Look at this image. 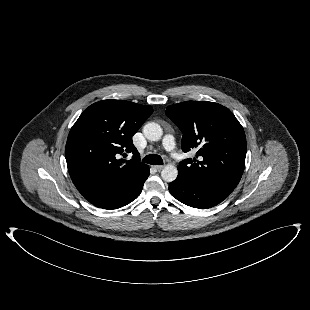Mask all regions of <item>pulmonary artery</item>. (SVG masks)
<instances>
[{
    "mask_svg": "<svg viewBox=\"0 0 310 310\" xmlns=\"http://www.w3.org/2000/svg\"><path fill=\"white\" fill-rule=\"evenodd\" d=\"M162 145L164 149L169 152L176 160L179 161L181 159L179 153L176 150L175 140L172 135H166L163 138Z\"/></svg>",
    "mask_w": 310,
    "mask_h": 310,
    "instance_id": "pulmonary-artery-1",
    "label": "pulmonary artery"
}]
</instances>
